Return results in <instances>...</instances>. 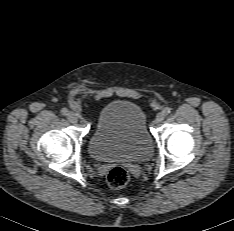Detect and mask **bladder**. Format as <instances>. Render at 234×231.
Here are the masks:
<instances>
[{"mask_svg":"<svg viewBox=\"0 0 234 231\" xmlns=\"http://www.w3.org/2000/svg\"><path fill=\"white\" fill-rule=\"evenodd\" d=\"M88 149L99 162L149 160L153 140L141 106L122 99L108 103L99 114Z\"/></svg>","mask_w":234,"mask_h":231,"instance_id":"obj_1","label":"bladder"}]
</instances>
